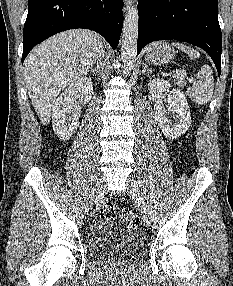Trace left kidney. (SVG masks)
Wrapping results in <instances>:
<instances>
[{
	"label": "left kidney",
	"instance_id": "left-kidney-1",
	"mask_svg": "<svg viewBox=\"0 0 233 286\" xmlns=\"http://www.w3.org/2000/svg\"><path fill=\"white\" fill-rule=\"evenodd\" d=\"M148 88L155 102V120L163 134L172 140L185 134L191 124V114L184 93L180 89H172L170 91V83L160 79L150 80ZM167 92H169L167 94L169 110L176 113L174 123L165 115L163 100Z\"/></svg>",
	"mask_w": 233,
	"mask_h": 286
}]
</instances>
